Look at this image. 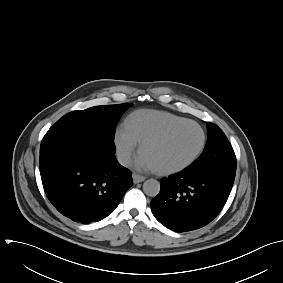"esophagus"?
<instances>
[{"label":"esophagus","instance_id":"34e87169","mask_svg":"<svg viewBox=\"0 0 283 283\" xmlns=\"http://www.w3.org/2000/svg\"><path fill=\"white\" fill-rule=\"evenodd\" d=\"M132 177H133V182L135 184L143 182L146 179V177L136 174V173H133Z\"/></svg>","mask_w":283,"mask_h":283}]
</instances>
